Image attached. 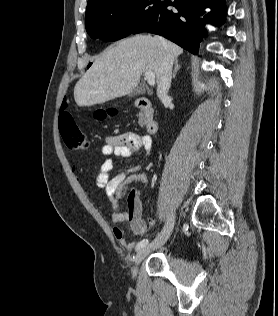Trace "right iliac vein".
<instances>
[{
  "label": "right iliac vein",
  "mask_w": 278,
  "mask_h": 316,
  "mask_svg": "<svg viewBox=\"0 0 278 316\" xmlns=\"http://www.w3.org/2000/svg\"><path fill=\"white\" fill-rule=\"evenodd\" d=\"M175 212H170L167 218V222L160 233V235L149 245L143 247L138 251L134 258V266L132 267V277H136L138 266L143 261V259L153 250L160 248L169 238L174 224H175Z\"/></svg>",
  "instance_id": "63e3f726"
}]
</instances>
